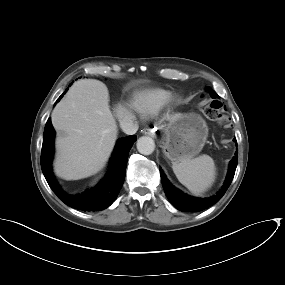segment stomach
Wrapping results in <instances>:
<instances>
[{
    "mask_svg": "<svg viewBox=\"0 0 285 285\" xmlns=\"http://www.w3.org/2000/svg\"><path fill=\"white\" fill-rule=\"evenodd\" d=\"M163 154L172 162L192 158L203 148L208 127L204 119L195 113L170 119L164 127Z\"/></svg>",
    "mask_w": 285,
    "mask_h": 285,
    "instance_id": "1",
    "label": "stomach"
}]
</instances>
